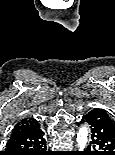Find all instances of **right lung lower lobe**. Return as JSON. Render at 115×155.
I'll use <instances>...</instances> for the list:
<instances>
[{"label":"right lung lower lobe","instance_id":"98d812e1","mask_svg":"<svg viewBox=\"0 0 115 155\" xmlns=\"http://www.w3.org/2000/svg\"><path fill=\"white\" fill-rule=\"evenodd\" d=\"M41 128L10 137L2 155H51L47 151L46 141ZM1 155V154H0Z\"/></svg>","mask_w":115,"mask_h":155}]
</instances>
